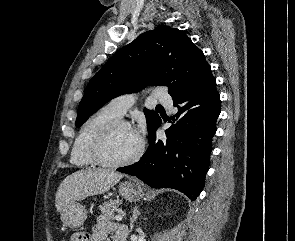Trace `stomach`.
Returning <instances> with one entry per match:
<instances>
[{"mask_svg":"<svg viewBox=\"0 0 295 241\" xmlns=\"http://www.w3.org/2000/svg\"><path fill=\"white\" fill-rule=\"evenodd\" d=\"M120 195L127 201L134 202L140 200L145 195V190L141 183L135 179L122 182L119 185ZM87 219L85 206L77 201L69 204L61 211L63 224L70 228L81 227Z\"/></svg>","mask_w":295,"mask_h":241,"instance_id":"stomach-1","label":"stomach"}]
</instances>
